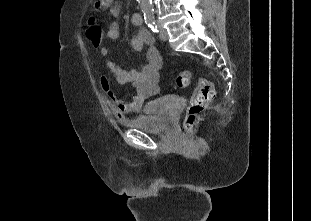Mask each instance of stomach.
<instances>
[{"instance_id": "0dacf381", "label": "stomach", "mask_w": 311, "mask_h": 221, "mask_svg": "<svg viewBox=\"0 0 311 221\" xmlns=\"http://www.w3.org/2000/svg\"><path fill=\"white\" fill-rule=\"evenodd\" d=\"M109 0H94V6L96 10H101L104 6H107Z\"/></svg>"}]
</instances>
